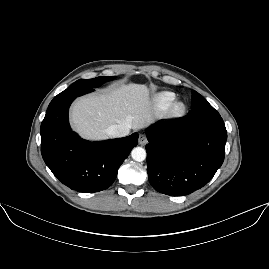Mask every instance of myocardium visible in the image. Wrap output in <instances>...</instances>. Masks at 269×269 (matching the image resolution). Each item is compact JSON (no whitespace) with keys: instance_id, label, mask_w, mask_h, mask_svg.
Masks as SVG:
<instances>
[{"instance_id":"myocardium-1","label":"myocardium","mask_w":269,"mask_h":269,"mask_svg":"<svg viewBox=\"0 0 269 269\" xmlns=\"http://www.w3.org/2000/svg\"><path fill=\"white\" fill-rule=\"evenodd\" d=\"M185 110V106L182 102H176L173 104L172 108H171V113L174 116H178L181 115Z\"/></svg>"}]
</instances>
